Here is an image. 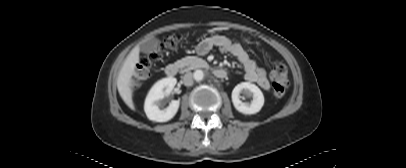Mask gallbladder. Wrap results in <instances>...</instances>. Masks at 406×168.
Here are the masks:
<instances>
[{
    "mask_svg": "<svg viewBox=\"0 0 406 168\" xmlns=\"http://www.w3.org/2000/svg\"><path fill=\"white\" fill-rule=\"evenodd\" d=\"M140 50L143 53L158 52L160 50L159 39L152 37L149 40L141 44Z\"/></svg>",
    "mask_w": 406,
    "mask_h": 168,
    "instance_id": "1",
    "label": "gallbladder"
}]
</instances>
